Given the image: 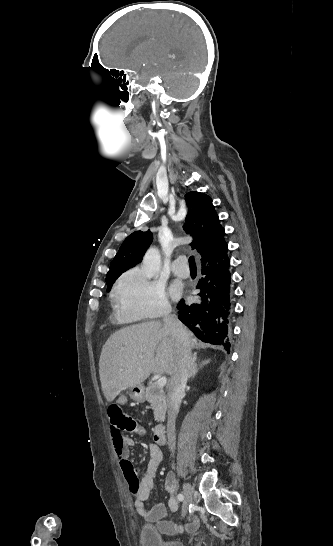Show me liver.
Segmentation results:
<instances>
[{
  "label": "liver",
  "instance_id": "1",
  "mask_svg": "<svg viewBox=\"0 0 333 546\" xmlns=\"http://www.w3.org/2000/svg\"><path fill=\"white\" fill-rule=\"evenodd\" d=\"M191 347L194 341L190 339ZM177 363L175 341L158 321L113 333L102 348L99 375L108 402L121 391L140 385L152 373L172 375Z\"/></svg>",
  "mask_w": 333,
  "mask_h": 546
}]
</instances>
